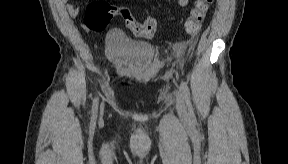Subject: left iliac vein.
<instances>
[{
    "instance_id": "1",
    "label": "left iliac vein",
    "mask_w": 288,
    "mask_h": 164,
    "mask_svg": "<svg viewBox=\"0 0 288 164\" xmlns=\"http://www.w3.org/2000/svg\"><path fill=\"white\" fill-rule=\"evenodd\" d=\"M176 109L180 118L184 120L189 118L186 101L184 95L180 91L176 93Z\"/></svg>"
}]
</instances>
